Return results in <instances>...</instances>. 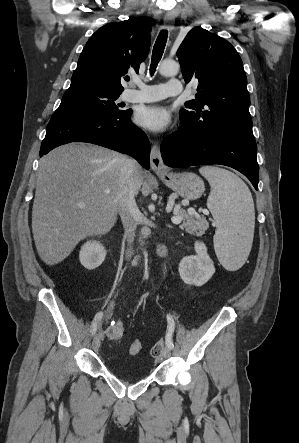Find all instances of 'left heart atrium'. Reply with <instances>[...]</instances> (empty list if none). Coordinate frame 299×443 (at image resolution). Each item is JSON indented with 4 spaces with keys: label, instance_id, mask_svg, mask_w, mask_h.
<instances>
[{
    "label": "left heart atrium",
    "instance_id": "left-heart-atrium-1",
    "mask_svg": "<svg viewBox=\"0 0 299 443\" xmlns=\"http://www.w3.org/2000/svg\"><path fill=\"white\" fill-rule=\"evenodd\" d=\"M136 122L153 132H162L171 125V114L163 106H144L137 111Z\"/></svg>",
    "mask_w": 299,
    "mask_h": 443
}]
</instances>
